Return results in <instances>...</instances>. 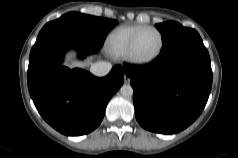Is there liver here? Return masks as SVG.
I'll use <instances>...</instances> for the list:
<instances>
[{
	"label": "liver",
	"mask_w": 238,
	"mask_h": 158,
	"mask_svg": "<svg viewBox=\"0 0 238 158\" xmlns=\"http://www.w3.org/2000/svg\"><path fill=\"white\" fill-rule=\"evenodd\" d=\"M88 63L85 62V63H80V62H74L72 63L71 65H69L70 67H81V68H84L85 66H87Z\"/></svg>",
	"instance_id": "obj_1"
}]
</instances>
